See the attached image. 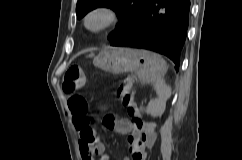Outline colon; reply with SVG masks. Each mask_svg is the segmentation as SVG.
Instances as JSON below:
<instances>
[{"label":"colon","mask_w":242,"mask_h":160,"mask_svg":"<svg viewBox=\"0 0 242 160\" xmlns=\"http://www.w3.org/2000/svg\"><path fill=\"white\" fill-rule=\"evenodd\" d=\"M85 83V75L80 66L73 65L65 73L62 89L65 93L73 94L78 89H80ZM117 93L121 98L123 106L126 108L127 114L132 119L141 118L139 116V111L134 100V92L132 88V83L130 79H124L118 89ZM68 107L73 116L77 119V124L83 130L82 136L86 140L94 138L93 129L90 126V119L88 117V103L85 98L79 94H73L69 101Z\"/></svg>","instance_id":"obj_1"}]
</instances>
